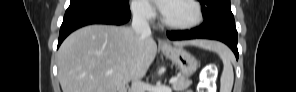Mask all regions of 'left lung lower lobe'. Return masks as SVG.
Masks as SVG:
<instances>
[{
    "instance_id": "0a47b994",
    "label": "left lung lower lobe",
    "mask_w": 296,
    "mask_h": 92,
    "mask_svg": "<svg viewBox=\"0 0 296 92\" xmlns=\"http://www.w3.org/2000/svg\"><path fill=\"white\" fill-rule=\"evenodd\" d=\"M167 36L170 40H188L196 38L219 40L232 49L236 59H238L239 56L237 49V30L235 23L232 22L222 23L210 30L197 27L191 30L171 31L167 32Z\"/></svg>"
}]
</instances>
